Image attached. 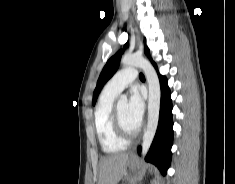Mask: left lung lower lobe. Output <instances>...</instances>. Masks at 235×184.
Returning a JSON list of instances; mask_svg holds the SVG:
<instances>
[{
  "label": "left lung lower lobe",
  "mask_w": 235,
  "mask_h": 184,
  "mask_svg": "<svg viewBox=\"0 0 235 184\" xmlns=\"http://www.w3.org/2000/svg\"><path fill=\"white\" fill-rule=\"evenodd\" d=\"M152 64L157 70L156 64L150 59ZM161 84V104L158 128L146 156V161L153 163L158 167L163 175L171 163V147L173 143V121H172V101L171 93L167 85V79L158 73ZM139 155L141 148H138Z\"/></svg>",
  "instance_id": "0a47b994"
}]
</instances>
